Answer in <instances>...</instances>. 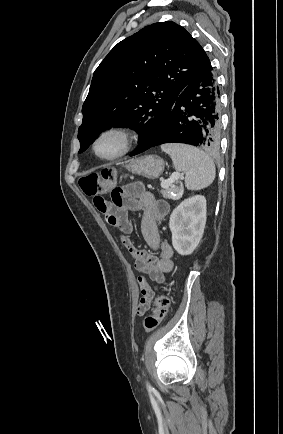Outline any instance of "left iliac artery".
Segmentation results:
<instances>
[{
  "label": "left iliac artery",
  "instance_id": "left-iliac-artery-1",
  "mask_svg": "<svg viewBox=\"0 0 283 434\" xmlns=\"http://www.w3.org/2000/svg\"><path fill=\"white\" fill-rule=\"evenodd\" d=\"M147 389H148V391H152L153 390V388H152V386L147 382Z\"/></svg>",
  "mask_w": 283,
  "mask_h": 434
}]
</instances>
